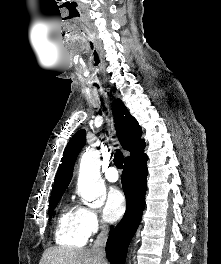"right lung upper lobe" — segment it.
<instances>
[{"label": "right lung upper lobe", "instance_id": "right-lung-upper-lobe-1", "mask_svg": "<svg viewBox=\"0 0 221 264\" xmlns=\"http://www.w3.org/2000/svg\"><path fill=\"white\" fill-rule=\"evenodd\" d=\"M113 114L119 141L122 147L131 153L129 157L125 158V162L146 157L144 154L145 143L141 140L142 129L120 99H116L113 103ZM85 142V130L76 132L68 142L55 177L51 198L63 194L68 187L72 178L74 162Z\"/></svg>", "mask_w": 221, "mask_h": 264}]
</instances>
